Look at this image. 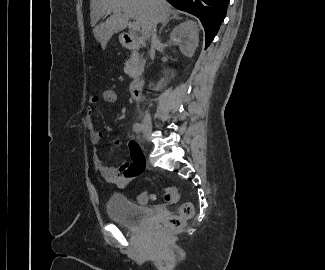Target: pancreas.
<instances>
[{
  "label": "pancreas",
  "mask_w": 325,
  "mask_h": 270,
  "mask_svg": "<svg viewBox=\"0 0 325 270\" xmlns=\"http://www.w3.org/2000/svg\"><path fill=\"white\" fill-rule=\"evenodd\" d=\"M145 65V60L143 58H139L137 61H134L132 59H128L125 63V73L130 78H135L139 71L143 69Z\"/></svg>",
  "instance_id": "cf45deb5"
}]
</instances>
